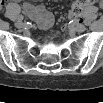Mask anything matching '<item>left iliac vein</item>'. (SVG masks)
<instances>
[{
	"label": "left iliac vein",
	"mask_w": 103,
	"mask_h": 103,
	"mask_svg": "<svg viewBox=\"0 0 103 103\" xmlns=\"http://www.w3.org/2000/svg\"><path fill=\"white\" fill-rule=\"evenodd\" d=\"M75 30L77 32H84L86 30V27L84 25H82V24H79V25L75 26Z\"/></svg>",
	"instance_id": "left-iliac-vein-1"
}]
</instances>
